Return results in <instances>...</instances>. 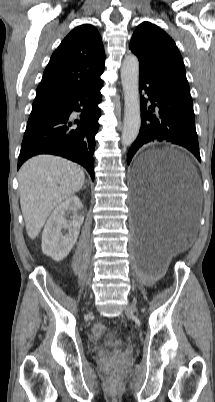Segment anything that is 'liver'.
<instances>
[{"instance_id": "6515ba94", "label": "liver", "mask_w": 215, "mask_h": 402, "mask_svg": "<svg viewBox=\"0 0 215 402\" xmlns=\"http://www.w3.org/2000/svg\"><path fill=\"white\" fill-rule=\"evenodd\" d=\"M85 174L75 163L52 155H38L19 170V195L26 232L35 239L54 208L79 191Z\"/></svg>"}]
</instances>
